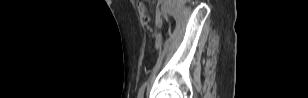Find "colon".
Segmentation results:
<instances>
[{"mask_svg": "<svg viewBox=\"0 0 308 98\" xmlns=\"http://www.w3.org/2000/svg\"><path fill=\"white\" fill-rule=\"evenodd\" d=\"M138 12L141 18L142 23L147 26L149 24L150 18L147 14L145 5L143 2H138Z\"/></svg>", "mask_w": 308, "mask_h": 98, "instance_id": "5ec220e1", "label": "colon"}]
</instances>
